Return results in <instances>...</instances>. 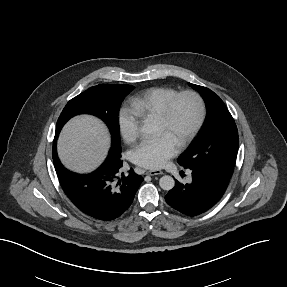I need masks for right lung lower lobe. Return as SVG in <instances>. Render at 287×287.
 Here are the masks:
<instances>
[{"label":"right lung lower lobe","mask_w":287,"mask_h":287,"mask_svg":"<svg viewBox=\"0 0 287 287\" xmlns=\"http://www.w3.org/2000/svg\"><path fill=\"white\" fill-rule=\"evenodd\" d=\"M120 158L105 160L96 171L87 175L69 172L58 157L53 162L62 189L73 204L94 219L111 221L130 207L143 181L132 169L127 176L119 177Z\"/></svg>","instance_id":"right-lung-lower-lobe-1"}]
</instances>
